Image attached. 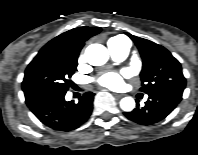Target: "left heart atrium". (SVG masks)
<instances>
[{
    "instance_id": "1",
    "label": "left heart atrium",
    "mask_w": 198,
    "mask_h": 155,
    "mask_svg": "<svg viewBox=\"0 0 198 155\" xmlns=\"http://www.w3.org/2000/svg\"><path fill=\"white\" fill-rule=\"evenodd\" d=\"M97 83L101 86L117 89L123 84L122 76L116 72H107L97 78Z\"/></svg>"
}]
</instances>
